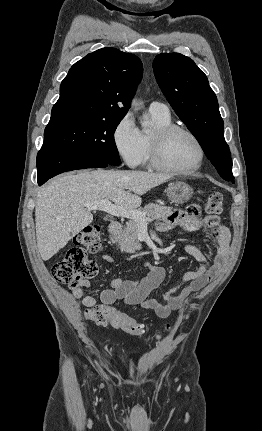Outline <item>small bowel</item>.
Wrapping results in <instances>:
<instances>
[{
  "instance_id": "c3829d8e",
  "label": "small bowel",
  "mask_w": 262,
  "mask_h": 431,
  "mask_svg": "<svg viewBox=\"0 0 262 431\" xmlns=\"http://www.w3.org/2000/svg\"><path fill=\"white\" fill-rule=\"evenodd\" d=\"M176 225L188 231H198L201 227L212 229L214 231L213 243L216 247L214 262H208L196 246L187 245L185 251L200 262V267L197 271L186 273L182 283L166 291L163 294L162 302L151 297V293L163 282L165 271L161 266L149 263L145 264V272L140 280L113 279L110 282L111 288L102 292L100 303H97L95 298L85 295L83 289L77 288L72 291V295L86 307L88 317L91 318L97 312L108 316L112 311H115L114 303L122 301L128 306H139L143 309L153 310L160 318H168L173 311L178 310L183 305L190 295L201 290L225 266L229 254L230 232L221 223L218 216L208 214L201 216L199 211L194 215L173 211L169 218L158 224V229L164 232ZM103 260L107 263L112 262L108 256H104Z\"/></svg>"
}]
</instances>
